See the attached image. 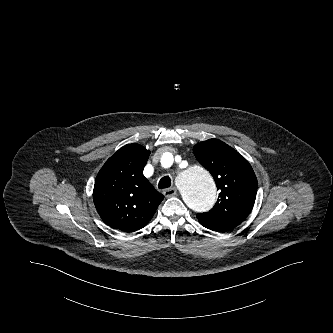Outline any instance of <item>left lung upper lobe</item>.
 <instances>
[{"label": "left lung upper lobe", "mask_w": 333, "mask_h": 333, "mask_svg": "<svg viewBox=\"0 0 333 333\" xmlns=\"http://www.w3.org/2000/svg\"><path fill=\"white\" fill-rule=\"evenodd\" d=\"M199 163L212 174L220 190L215 206L197 219L204 227L227 231L241 224L250 214L257 193V178L236 150L218 139H209L193 148Z\"/></svg>", "instance_id": "obj_1"}]
</instances>
